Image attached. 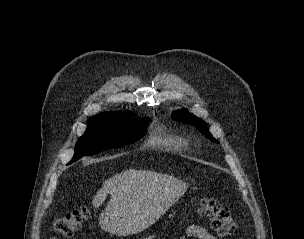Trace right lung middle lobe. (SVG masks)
<instances>
[{"label": "right lung middle lobe", "instance_id": "dd1d6c3e", "mask_svg": "<svg viewBox=\"0 0 304 239\" xmlns=\"http://www.w3.org/2000/svg\"><path fill=\"white\" fill-rule=\"evenodd\" d=\"M134 116L135 113L128 112L120 117L88 119L87 130L77 141L75 154L70 163L83 156L136 142L144 136L149 120L131 118Z\"/></svg>", "mask_w": 304, "mask_h": 239}]
</instances>
